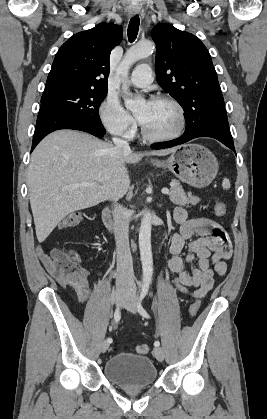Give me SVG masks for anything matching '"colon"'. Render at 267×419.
<instances>
[{
    "mask_svg": "<svg viewBox=\"0 0 267 419\" xmlns=\"http://www.w3.org/2000/svg\"><path fill=\"white\" fill-rule=\"evenodd\" d=\"M214 211L217 216H223L226 213V205L222 201H217L214 205ZM83 215L80 212H72L65 216L60 223L61 228H71L80 224ZM53 270L60 276L72 277L81 273L82 268L79 266V255L72 250L53 249L48 255ZM200 309V301L195 300L190 308L189 315L195 316ZM147 344H140L136 347V351L141 354L149 352Z\"/></svg>",
    "mask_w": 267,
    "mask_h": 419,
    "instance_id": "colon-1",
    "label": "colon"
}]
</instances>
